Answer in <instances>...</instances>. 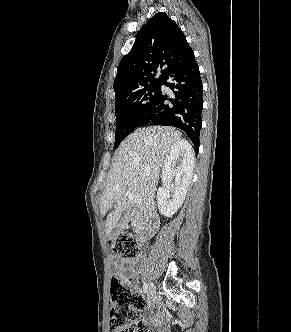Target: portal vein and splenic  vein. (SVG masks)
Returning <instances> with one entry per match:
<instances>
[{
    "mask_svg": "<svg viewBox=\"0 0 291 332\" xmlns=\"http://www.w3.org/2000/svg\"><path fill=\"white\" fill-rule=\"evenodd\" d=\"M127 195L129 197V199L134 202V203H140L141 202V197L139 194H134V193H131V192H127Z\"/></svg>",
    "mask_w": 291,
    "mask_h": 332,
    "instance_id": "1",
    "label": "portal vein and splenic vein"
}]
</instances>
